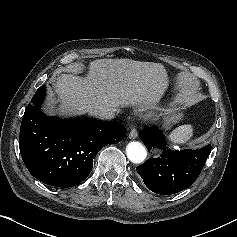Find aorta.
Segmentation results:
<instances>
[{
  "label": "aorta",
  "instance_id": "obj_1",
  "mask_svg": "<svg viewBox=\"0 0 237 237\" xmlns=\"http://www.w3.org/2000/svg\"><path fill=\"white\" fill-rule=\"evenodd\" d=\"M126 153L128 159L135 164L142 163L147 157L145 147L137 141H132L126 146Z\"/></svg>",
  "mask_w": 237,
  "mask_h": 237
}]
</instances>
